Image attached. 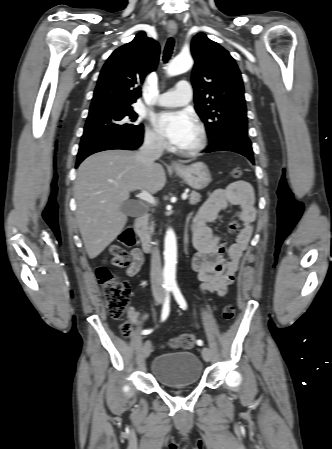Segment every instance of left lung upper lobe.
Returning <instances> with one entry per match:
<instances>
[{
	"label": "left lung upper lobe",
	"instance_id": "obj_1",
	"mask_svg": "<svg viewBox=\"0 0 332 449\" xmlns=\"http://www.w3.org/2000/svg\"><path fill=\"white\" fill-rule=\"evenodd\" d=\"M195 110L210 143L233 133L247 135V114L240 70L229 54L204 33L191 44Z\"/></svg>",
	"mask_w": 332,
	"mask_h": 449
}]
</instances>
